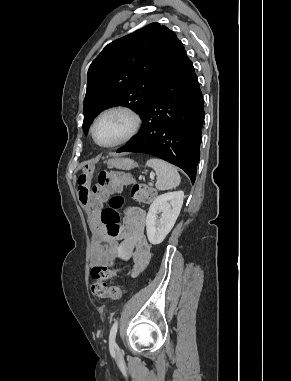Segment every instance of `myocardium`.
Segmentation results:
<instances>
[{
    "instance_id": "1",
    "label": "myocardium",
    "mask_w": 291,
    "mask_h": 381,
    "mask_svg": "<svg viewBox=\"0 0 291 381\" xmlns=\"http://www.w3.org/2000/svg\"><path fill=\"white\" fill-rule=\"evenodd\" d=\"M114 112H121V113H125L128 116H130L132 119V128L129 131V133L125 137H123L122 139H120L114 143H111V144H102L97 140V137H96L97 123L105 115L110 114V113H114ZM141 126H142V118H141L140 114L135 109H133L130 106H126V105H118V106L111 107V108L103 111L102 113H100L95 118V120L92 124L91 132H92L93 140L95 141V143L97 145H99L100 147H103V148H114V147L123 145V144L131 141L139 133Z\"/></svg>"
}]
</instances>
